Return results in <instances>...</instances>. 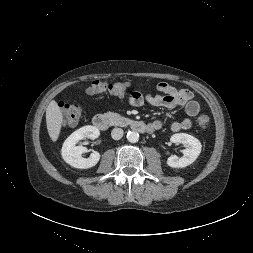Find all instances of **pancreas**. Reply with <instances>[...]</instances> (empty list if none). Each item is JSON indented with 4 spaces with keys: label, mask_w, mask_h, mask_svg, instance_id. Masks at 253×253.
Listing matches in <instances>:
<instances>
[{
    "label": "pancreas",
    "mask_w": 253,
    "mask_h": 253,
    "mask_svg": "<svg viewBox=\"0 0 253 253\" xmlns=\"http://www.w3.org/2000/svg\"><path fill=\"white\" fill-rule=\"evenodd\" d=\"M107 118L109 119L110 123L112 125H123L125 124V122L128 121L127 118L121 116L118 113H114V112H107L106 113Z\"/></svg>",
    "instance_id": "1"
}]
</instances>
